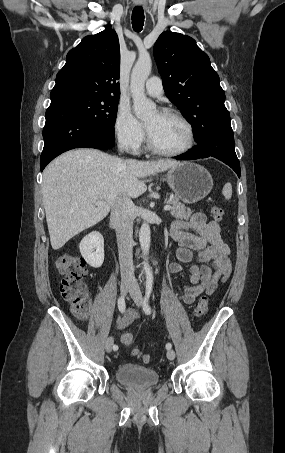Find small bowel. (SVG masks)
Instances as JSON below:
<instances>
[{
	"label": "small bowel",
	"mask_w": 285,
	"mask_h": 453,
	"mask_svg": "<svg viewBox=\"0 0 285 453\" xmlns=\"http://www.w3.org/2000/svg\"><path fill=\"white\" fill-rule=\"evenodd\" d=\"M171 236L178 243L176 256L178 262L169 265L171 273H180L182 263H192L189 284L184 287L180 299L192 304L202 293L212 294L220 283L230 276L231 250L221 237L220 226L216 221H208L203 213H195L188 220L174 221ZM81 320L87 316L78 315ZM139 318L136 310L129 309L118 318L116 328L122 330Z\"/></svg>",
	"instance_id": "small-bowel-1"
}]
</instances>
